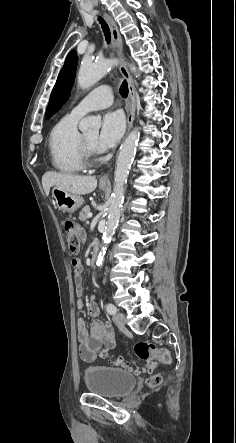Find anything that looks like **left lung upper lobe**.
<instances>
[{
  "label": "left lung upper lobe",
  "mask_w": 236,
  "mask_h": 443,
  "mask_svg": "<svg viewBox=\"0 0 236 443\" xmlns=\"http://www.w3.org/2000/svg\"><path fill=\"white\" fill-rule=\"evenodd\" d=\"M78 57L75 50L71 51L64 63L52 90L49 105L46 110V119L58 111L68 99L76 73Z\"/></svg>",
  "instance_id": "5c2ea615"
}]
</instances>
